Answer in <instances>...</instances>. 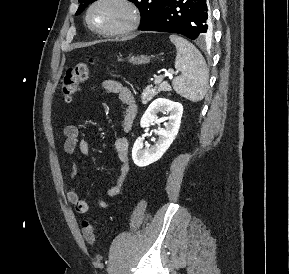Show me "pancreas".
I'll return each instance as SVG.
<instances>
[{
  "label": "pancreas",
  "mask_w": 289,
  "mask_h": 274,
  "mask_svg": "<svg viewBox=\"0 0 289 274\" xmlns=\"http://www.w3.org/2000/svg\"><path fill=\"white\" fill-rule=\"evenodd\" d=\"M160 91H171V87L168 83H161L159 86H147L141 95V101L143 104H147L156 96Z\"/></svg>",
  "instance_id": "pancreas-1"
}]
</instances>
